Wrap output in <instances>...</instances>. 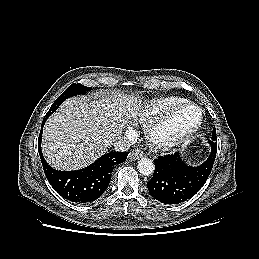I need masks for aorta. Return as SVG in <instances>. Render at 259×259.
Segmentation results:
<instances>
[{
  "label": "aorta",
  "mask_w": 259,
  "mask_h": 259,
  "mask_svg": "<svg viewBox=\"0 0 259 259\" xmlns=\"http://www.w3.org/2000/svg\"><path fill=\"white\" fill-rule=\"evenodd\" d=\"M137 168L142 175L148 176L153 174L155 165L151 159L144 157L138 161Z\"/></svg>",
  "instance_id": "1"
}]
</instances>
